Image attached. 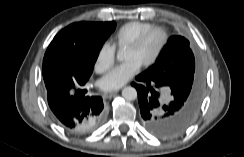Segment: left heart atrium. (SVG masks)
I'll use <instances>...</instances> for the list:
<instances>
[{
    "instance_id": "obj_1",
    "label": "left heart atrium",
    "mask_w": 244,
    "mask_h": 157,
    "mask_svg": "<svg viewBox=\"0 0 244 157\" xmlns=\"http://www.w3.org/2000/svg\"><path fill=\"white\" fill-rule=\"evenodd\" d=\"M141 65L135 60H128L114 68L101 81L103 90L112 91L123 87L135 74L139 72Z\"/></svg>"
}]
</instances>
